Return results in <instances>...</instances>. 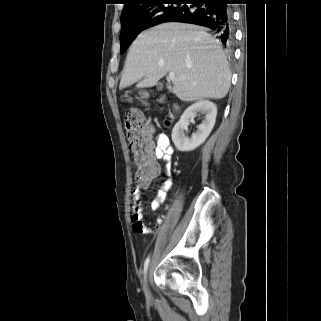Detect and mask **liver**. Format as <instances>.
I'll list each match as a JSON object with an SVG mask.
<instances>
[{"mask_svg": "<svg viewBox=\"0 0 321 321\" xmlns=\"http://www.w3.org/2000/svg\"><path fill=\"white\" fill-rule=\"evenodd\" d=\"M177 79L169 91L182 101L224 98L231 73L220 42L204 29L183 23H162L143 33L126 57L120 89L134 83L153 87L167 73Z\"/></svg>", "mask_w": 321, "mask_h": 321, "instance_id": "obj_1", "label": "liver"}]
</instances>
